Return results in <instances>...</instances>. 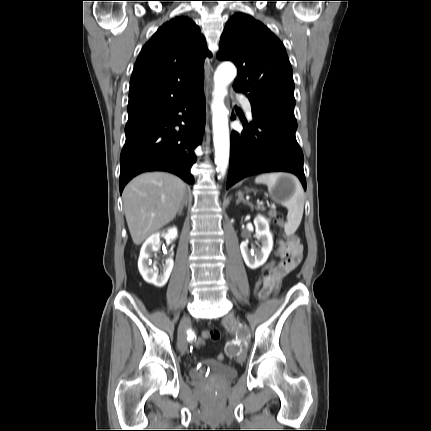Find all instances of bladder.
I'll return each instance as SVG.
<instances>
[{"label": "bladder", "instance_id": "obj_1", "mask_svg": "<svg viewBox=\"0 0 431 431\" xmlns=\"http://www.w3.org/2000/svg\"><path fill=\"white\" fill-rule=\"evenodd\" d=\"M190 376L198 381L224 382L237 376V370L222 362L207 359L190 369Z\"/></svg>", "mask_w": 431, "mask_h": 431}]
</instances>
